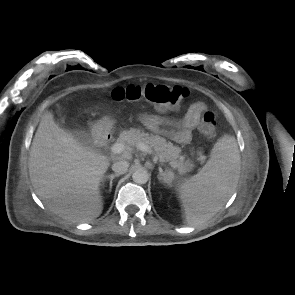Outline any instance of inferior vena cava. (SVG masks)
I'll return each instance as SVG.
<instances>
[{
	"label": "inferior vena cava",
	"instance_id": "602c4592",
	"mask_svg": "<svg viewBox=\"0 0 295 295\" xmlns=\"http://www.w3.org/2000/svg\"><path fill=\"white\" fill-rule=\"evenodd\" d=\"M129 167V163L126 160H119L113 163L112 170L116 174H125Z\"/></svg>",
	"mask_w": 295,
	"mask_h": 295
}]
</instances>
